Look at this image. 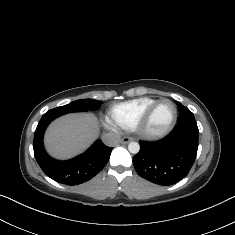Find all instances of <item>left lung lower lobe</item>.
Listing matches in <instances>:
<instances>
[{
    "label": "left lung lower lobe",
    "instance_id": "left-lung-lower-lobe-1",
    "mask_svg": "<svg viewBox=\"0 0 235 235\" xmlns=\"http://www.w3.org/2000/svg\"><path fill=\"white\" fill-rule=\"evenodd\" d=\"M198 134V129L179 127L160 141H140V151L133 158L137 173L160 185L178 182L195 162Z\"/></svg>",
    "mask_w": 235,
    "mask_h": 235
}]
</instances>
